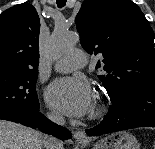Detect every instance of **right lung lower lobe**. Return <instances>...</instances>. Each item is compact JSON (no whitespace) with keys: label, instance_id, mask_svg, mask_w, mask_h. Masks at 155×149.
<instances>
[{"label":"right lung lower lobe","instance_id":"98d812e1","mask_svg":"<svg viewBox=\"0 0 155 149\" xmlns=\"http://www.w3.org/2000/svg\"><path fill=\"white\" fill-rule=\"evenodd\" d=\"M0 119L13 121L32 128L38 127L40 131L51 134L59 139L65 140L71 138L69 130L51 122L43 114L39 113V109H37L31 117L26 119H16L5 115H0Z\"/></svg>","mask_w":155,"mask_h":149}]
</instances>
